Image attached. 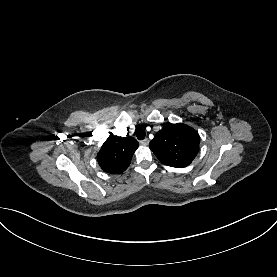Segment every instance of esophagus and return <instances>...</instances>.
Returning <instances> with one entry per match:
<instances>
[{
	"instance_id": "34e87169",
	"label": "esophagus",
	"mask_w": 277,
	"mask_h": 277,
	"mask_svg": "<svg viewBox=\"0 0 277 277\" xmlns=\"http://www.w3.org/2000/svg\"><path fill=\"white\" fill-rule=\"evenodd\" d=\"M140 144L143 145V146H147L149 144V139L145 138L144 140H141Z\"/></svg>"
}]
</instances>
